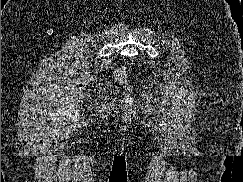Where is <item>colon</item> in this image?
I'll list each match as a JSON object with an SVG mask.
<instances>
[{"instance_id": "obj_1", "label": "colon", "mask_w": 243, "mask_h": 182, "mask_svg": "<svg viewBox=\"0 0 243 182\" xmlns=\"http://www.w3.org/2000/svg\"><path fill=\"white\" fill-rule=\"evenodd\" d=\"M115 79L119 82H123L124 81V74L122 71L118 70L115 73Z\"/></svg>"}]
</instances>
